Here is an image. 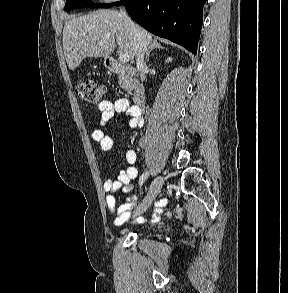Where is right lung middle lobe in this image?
<instances>
[{
    "label": "right lung middle lobe",
    "instance_id": "1",
    "mask_svg": "<svg viewBox=\"0 0 288 293\" xmlns=\"http://www.w3.org/2000/svg\"><path fill=\"white\" fill-rule=\"evenodd\" d=\"M115 4H116V2L111 3V4H96V5H94L91 0H67L64 9L66 11H68L71 9L81 8V7L94 8L95 6L100 7V8H109Z\"/></svg>",
    "mask_w": 288,
    "mask_h": 293
}]
</instances>
